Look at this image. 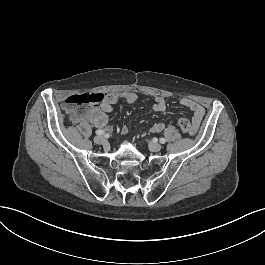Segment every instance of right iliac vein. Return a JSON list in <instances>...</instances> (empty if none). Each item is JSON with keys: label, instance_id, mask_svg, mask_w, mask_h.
<instances>
[{"label": "right iliac vein", "instance_id": "obj_1", "mask_svg": "<svg viewBox=\"0 0 265 265\" xmlns=\"http://www.w3.org/2000/svg\"><path fill=\"white\" fill-rule=\"evenodd\" d=\"M94 142L97 143V144H102L105 142V137L102 136V135H96L94 137Z\"/></svg>", "mask_w": 265, "mask_h": 265}]
</instances>
